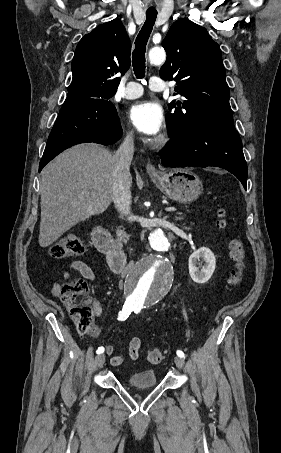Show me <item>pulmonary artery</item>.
<instances>
[{
    "mask_svg": "<svg viewBox=\"0 0 281 453\" xmlns=\"http://www.w3.org/2000/svg\"><path fill=\"white\" fill-rule=\"evenodd\" d=\"M156 82H161V79L158 77H152L150 78L149 81V87L153 91H161L165 89L164 85L156 83ZM143 94V89L140 84L136 82H130L127 84L125 87L122 95L126 99H134Z\"/></svg>",
    "mask_w": 281,
    "mask_h": 453,
    "instance_id": "obj_1",
    "label": "pulmonary artery"
}]
</instances>
